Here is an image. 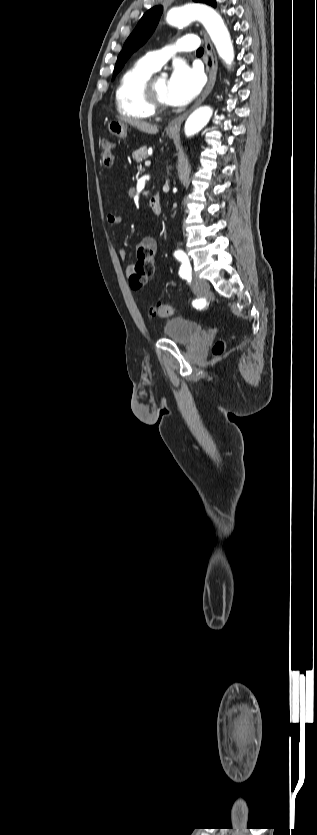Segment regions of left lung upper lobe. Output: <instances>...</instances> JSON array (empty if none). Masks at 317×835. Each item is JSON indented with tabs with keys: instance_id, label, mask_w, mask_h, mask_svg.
Returning <instances> with one entry per match:
<instances>
[{
	"instance_id": "5c2ea615",
	"label": "left lung upper lobe",
	"mask_w": 317,
	"mask_h": 835,
	"mask_svg": "<svg viewBox=\"0 0 317 835\" xmlns=\"http://www.w3.org/2000/svg\"><path fill=\"white\" fill-rule=\"evenodd\" d=\"M197 3H205L216 7V0H193ZM162 14V6H155L148 10L139 20L137 26L126 40L122 51L120 52L113 77L122 69L127 59L133 52L139 49L152 35Z\"/></svg>"
}]
</instances>
